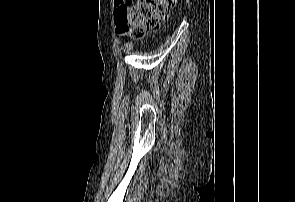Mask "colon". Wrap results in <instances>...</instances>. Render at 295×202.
<instances>
[{
    "label": "colon",
    "instance_id": "1",
    "mask_svg": "<svg viewBox=\"0 0 295 202\" xmlns=\"http://www.w3.org/2000/svg\"><path fill=\"white\" fill-rule=\"evenodd\" d=\"M175 4L176 0H127L125 8L117 12L118 30L134 39L155 32Z\"/></svg>",
    "mask_w": 295,
    "mask_h": 202
}]
</instances>
